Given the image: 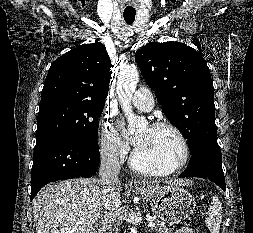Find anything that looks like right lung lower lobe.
Masks as SVG:
<instances>
[{
	"label": "right lung lower lobe",
	"instance_id": "98d812e1",
	"mask_svg": "<svg viewBox=\"0 0 253 233\" xmlns=\"http://www.w3.org/2000/svg\"><path fill=\"white\" fill-rule=\"evenodd\" d=\"M100 153L64 138L36 142L31 172V200L46 184L75 177H91L98 168Z\"/></svg>",
	"mask_w": 253,
	"mask_h": 233
}]
</instances>
